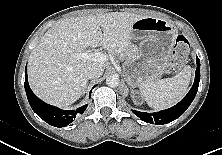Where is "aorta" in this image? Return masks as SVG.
<instances>
[{
    "mask_svg": "<svg viewBox=\"0 0 222 155\" xmlns=\"http://www.w3.org/2000/svg\"><path fill=\"white\" fill-rule=\"evenodd\" d=\"M119 76L114 74V75H110L106 78V84L109 86V87H117L119 85Z\"/></svg>",
    "mask_w": 222,
    "mask_h": 155,
    "instance_id": "1",
    "label": "aorta"
}]
</instances>
